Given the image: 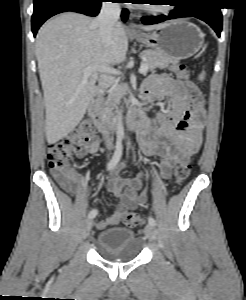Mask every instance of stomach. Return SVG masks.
<instances>
[{"mask_svg": "<svg viewBox=\"0 0 246 300\" xmlns=\"http://www.w3.org/2000/svg\"><path fill=\"white\" fill-rule=\"evenodd\" d=\"M136 39L144 46L179 61L195 55L204 44V34L193 23L175 20L165 23L152 33H140Z\"/></svg>", "mask_w": 246, "mask_h": 300, "instance_id": "1", "label": "stomach"}]
</instances>
